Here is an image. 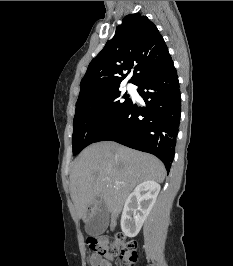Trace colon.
I'll list each match as a JSON object with an SVG mask.
<instances>
[{
  "instance_id": "colon-1",
  "label": "colon",
  "mask_w": 233,
  "mask_h": 266,
  "mask_svg": "<svg viewBox=\"0 0 233 266\" xmlns=\"http://www.w3.org/2000/svg\"><path fill=\"white\" fill-rule=\"evenodd\" d=\"M89 248L100 256L108 255L113 251H117L124 257L131 266L137 261L136 242L126 241L123 236H116L111 239L109 236L90 237L87 240Z\"/></svg>"
}]
</instances>
